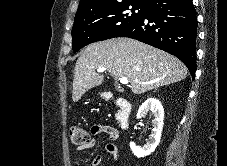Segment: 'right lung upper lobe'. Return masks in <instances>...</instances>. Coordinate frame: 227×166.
Segmentation results:
<instances>
[{
  "label": "right lung upper lobe",
  "mask_w": 227,
  "mask_h": 166,
  "mask_svg": "<svg viewBox=\"0 0 227 166\" xmlns=\"http://www.w3.org/2000/svg\"><path fill=\"white\" fill-rule=\"evenodd\" d=\"M151 1L152 0H80L76 14L129 3L147 5Z\"/></svg>",
  "instance_id": "1"
}]
</instances>
